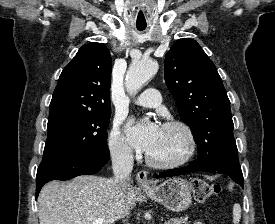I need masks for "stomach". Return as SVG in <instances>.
Masks as SVG:
<instances>
[{
	"instance_id": "1",
	"label": "stomach",
	"mask_w": 275,
	"mask_h": 224,
	"mask_svg": "<svg viewBox=\"0 0 275 224\" xmlns=\"http://www.w3.org/2000/svg\"><path fill=\"white\" fill-rule=\"evenodd\" d=\"M148 197L163 205L173 212L186 210L192 203L191 186L182 178H170L143 189Z\"/></svg>"
}]
</instances>
